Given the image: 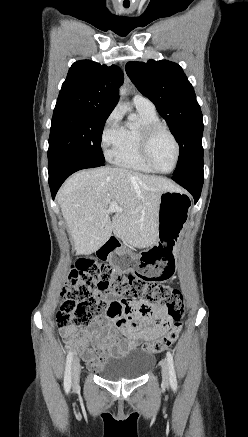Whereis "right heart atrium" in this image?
<instances>
[{
	"label": "right heart atrium",
	"instance_id": "right-heart-atrium-1",
	"mask_svg": "<svg viewBox=\"0 0 248 437\" xmlns=\"http://www.w3.org/2000/svg\"><path fill=\"white\" fill-rule=\"evenodd\" d=\"M120 113L118 110H113L105 119L101 134L100 144L107 157H111L115 147L117 146L121 135Z\"/></svg>",
	"mask_w": 248,
	"mask_h": 437
}]
</instances>
